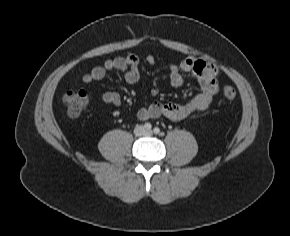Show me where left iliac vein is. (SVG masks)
Returning a JSON list of instances; mask_svg holds the SVG:
<instances>
[{
  "instance_id": "1",
  "label": "left iliac vein",
  "mask_w": 290,
  "mask_h": 236,
  "mask_svg": "<svg viewBox=\"0 0 290 236\" xmlns=\"http://www.w3.org/2000/svg\"><path fill=\"white\" fill-rule=\"evenodd\" d=\"M147 134H149V135L152 134V131H147Z\"/></svg>"
}]
</instances>
